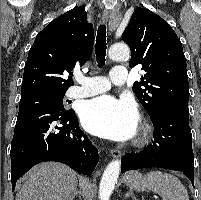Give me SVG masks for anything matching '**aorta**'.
I'll list each match as a JSON object with an SVG mask.
<instances>
[{
	"label": "aorta",
	"instance_id": "obj_1",
	"mask_svg": "<svg viewBox=\"0 0 201 200\" xmlns=\"http://www.w3.org/2000/svg\"><path fill=\"white\" fill-rule=\"evenodd\" d=\"M129 55L130 50L128 46L122 43L114 44L109 49V57L114 61L127 60L129 58ZM120 170L121 162L119 160H113L107 165L100 182V200H109L119 177Z\"/></svg>",
	"mask_w": 201,
	"mask_h": 200
}]
</instances>
